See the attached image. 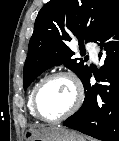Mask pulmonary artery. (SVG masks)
I'll list each match as a JSON object with an SVG mask.
<instances>
[{"label": "pulmonary artery", "instance_id": "pulmonary-artery-1", "mask_svg": "<svg viewBox=\"0 0 119 141\" xmlns=\"http://www.w3.org/2000/svg\"><path fill=\"white\" fill-rule=\"evenodd\" d=\"M86 47L90 53L92 60L97 61L98 60V55H97L98 52H97V48L95 47V45L89 43V44H87Z\"/></svg>", "mask_w": 119, "mask_h": 141}]
</instances>
